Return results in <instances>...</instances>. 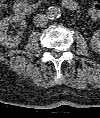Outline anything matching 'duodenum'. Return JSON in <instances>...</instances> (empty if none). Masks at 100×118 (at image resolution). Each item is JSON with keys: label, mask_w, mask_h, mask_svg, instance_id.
Listing matches in <instances>:
<instances>
[{"label": "duodenum", "mask_w": 100, "mask_h": 118, "mask_svg": "<svg viewBox=\"0 0 100 118\" xmlns=\"http://www.w3.org/2000/svg\"><path fill=\"white\" fill-rule=\"evenodd\" d=\"M62 5L67 8L74 10L77 8V4L74 0H63ZM15 13L20 16H30L34 9L33 7L24 0H17L14 6Z\"/></svg>", "instance_id": "1"}]
</instances>
